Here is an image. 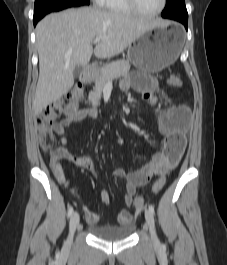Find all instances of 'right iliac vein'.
Here are the masks:
<instances>
[{"label": "right iliac vein", "mask_w": 227, "mask_h": 265, "mask_svg": "<svg viewBox=\"0 0 227 265\" xmlns=\"http://www.w3.org/2000/svg\"><path fill=\"white\" fill-rule=\"evenodd\" d=\"M79 221H80L79 214L77 212H74L70 219V232H69V237L67 240V245L71 244L74 232L77 226L79 225Z\"/></svg>", "instance_id": "63e3f726"}]
</instances>
